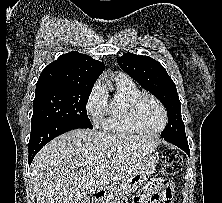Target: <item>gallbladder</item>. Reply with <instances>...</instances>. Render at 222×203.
Wrapping results in <instances>:
<instances>
[{"mask_svg": "<svg viewBox=\"0 0 222 203\" xmlns=\"http://www.w3.org/2000/svg\"><path fill=\"white\" fill-rule=\"evenodd\" d=\"M81 203H90V198L86 196Z\"/></svg>", "mask_w": 222, "mask_h": 203, "instance_id": "obj_1", "label": "gallbladder"}]
</instances>
